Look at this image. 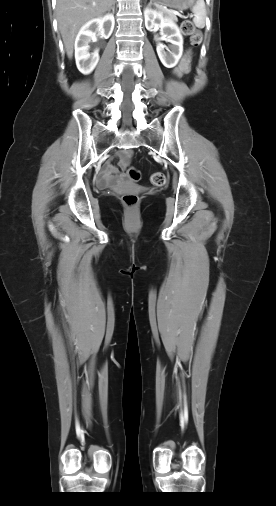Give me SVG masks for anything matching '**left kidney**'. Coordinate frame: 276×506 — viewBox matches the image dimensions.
Listing matches in <instances>:
<instances>
[{
    "mask_svg": "<svg viewBox=\"0 0 276 506\" xmlns=\"http://www.w3.org/2000/svg\"><path fill=\"white\" fill-rule=\"evenodd\" d=\"M145 26L148 30L160 28L161 34L171 43L169 53L164 48L165 45L157 44V54L162 64L167 68L177 65L183 52V37L176 23L170 18L163 17V14L157 10L146 8L144 11ZM158 39L157 36L155 37Z\"/></svg>",
    "mask_w": 276,
    "mask_h": 506,
    "instance_id": "obj_1",
    "label": "left kidney"
}]
</instances>
